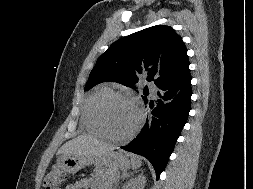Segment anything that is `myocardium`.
<instances>
[{"label": "myocardium", "instance_id": "obj_1", "mask_svg": "<svg viewBox=\"0 0 253 189\" xmlns=\"http://www.w3.org/2000/svg\"><path fill=\"white\" fill-rule=\"evenodd\" d=\"M112 101H122V102L128 103L132 105L137 111V122L135 126L132 128V130L129 133H127L124 136H116L112 134L106 125V122L104 119V109ZM94 117H95L97 125L102 131V134L106 138L113 141H118V142H125L132 139L136 135V133L140 130L143 124V120H144L143 111L139 107V105L132 98L118 92H111L107 95H104L97 101L94 107Z\"/></svg>", "mask_w": 253, "mask_h": 189}]
</instances>
